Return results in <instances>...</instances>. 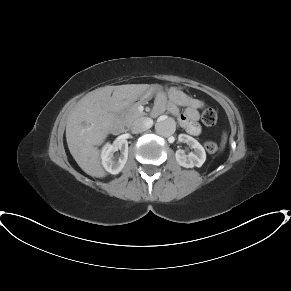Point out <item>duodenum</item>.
<instances>
[{"mask_svg": "<svg viewBox=\"0 0 291 291\" xmlns=\"http://www.w3.org/2000/svg\"><path fill=\"white\" fill-rule=\"evenodd\" d=\"M110 128H111V132L115 135H119L126 132V126L121 120L119 111L115 112L113 122Z\"/></svg>", "mask_w": 291, "mask_h": 291, "instance_id": "1", "label": "duodenum"}]
</instances>
